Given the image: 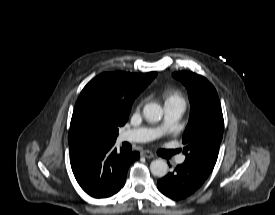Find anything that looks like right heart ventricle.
<instances>
[{
  "label": "right heart ventricle",
  "instance_id": "1",
  "mask_svg": "<svg viewBox=\"0 0 275 215\" xmlns=\"http://www.w3.org/2000/svg\"><path fill=\"white\" fill-rule=\"evenodd\" d=\"M165 104L173 103V102H184L181 94L175 90L166 91L163 94Z\"/></svg>",
  "mask_w": 275,
  "mask_h": 215
}]
</instances>
